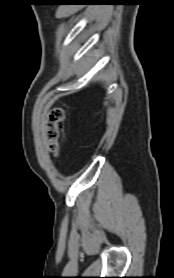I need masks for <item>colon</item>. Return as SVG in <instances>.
Returning <instances> with one entry per match:
<instances>
[{
    "label": "colon",
    "mask_w": 174,
    "mask_h": 278,
    "mask_svg": "<svg viewBox=\"0 0 174 278\" xmlns=\"http://www.w3.org/2000/svg\"><path fill=\"white\" fill-rule=\"evenodd\" d=\"M64 119L65 111L61 107L53 108L46 119V139L49 149L55 156L59 154Z\"/></svg>",
    "instance_id": "colon-1"
}]
</instances>
